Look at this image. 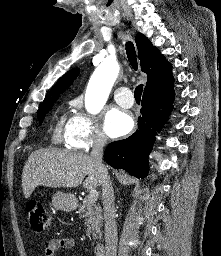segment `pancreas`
<instances>
[{
  "mask_svg": "<svg viewBox=\"0 0 221 256\" xmlns=\"http://www.w3.org/2000/svg\"><path fill=\"white\" fill-rule=\"evenodd\" d=\"M80 217L84 219L86 227V235L93 239H97L101 235L100 228L103 223V215L101 207L96 205V201L89 197L83 199V203L79 208Z\"/></svg>",
  "mask_w": 221,
  "mask_h": 256,
  "instance_id": "cf45deb5",
  "label": "pancreas"
}]
</instances>
